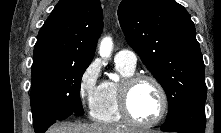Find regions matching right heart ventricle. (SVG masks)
<instances>
[{
  "label": "right heart ventricle",
  "mask_w": 221,
  "mask_h": 133,
  "mask_svg": "<svg viewBox=\"0 0 221 133\" xmlns=\"http://www.w3.org/2000/svg\"><path fill=\"white\" fill-rule=\"evenodd\" d=\"M116 69L122 80L133 75L135 68L116 63ZM122 81L106 80L101 83L99 95L92 116L95 120L106 124H120L125 120L119 110L118 95Z\"/></svg>",
  "instance_id": "1"
}]
</instances>
